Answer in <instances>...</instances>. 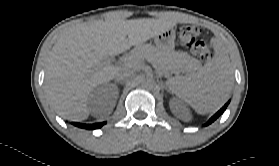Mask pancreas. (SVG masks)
I'll return each mask as SVG.
<instances>
[{
    "mask_svg": "<svg viewBox=\"0 0 279 166\" xmlns=\"http://www.w3.org/2000/svg\"><path fill=\"white\" fill-rule=\"evenodd\" d=\"M144 60L165 73L180 71H194L200 68L201 63L183 52L160 50L149 44L139 45L134 48L124 59L125 65L133 70L140 68Z\"/></svg>",
    "mask_w": 279,
    "mask_h": 166,
    "instance_id": "cf45deb5",
    "label": "pancreas"
}]
</instances>
